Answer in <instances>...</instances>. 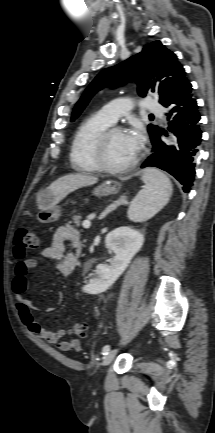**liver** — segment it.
<instances>
[{
  "instance_id": "1",
  "label": "liver",
  "mask_w": 215,
  "mask_h": 433,
  "mask_svg": "<svg viewBox=\"0 0 215 433\" xmlns=\"http://www.w3.org/2000/svg\"><path fill=\"white\" fill-rule=\"evenodd\" d=\"M98 178L84 174H68L58 178L49 186V190L57 199V202L65 198L69 193L86 186L97 183Z\"/></svg>"
}]
</instances>
